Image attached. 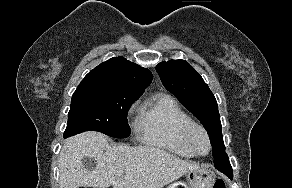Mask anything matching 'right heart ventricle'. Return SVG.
Segmentation results:
<instances>
[{"instance_id":"1","label":"right heart ventricle","mask_w":292,"mask_h":188,"mask_svg":"<svg viewBox=\"0 0 292 188\" xmlns=\"http://www.w3.org/2000/svg\"><path fill=\"white\" fill-rule=\"evenodd\" d=\"M192 122L174 98L159 94L141 107L135 128L142 143L191 158L195 154L186 145L183 133Z\"/></svg>"}]
</instances>
